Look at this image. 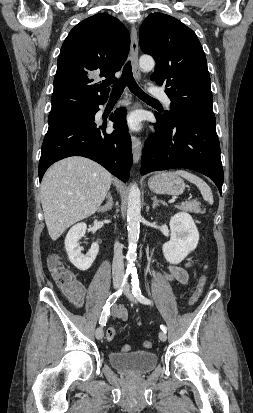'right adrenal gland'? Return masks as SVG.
<instances>
[{
    "instance_id": "right-adrenal-gland-1",
    "label": "right adrenal gland",
    "mask_w": 253,
    "mask_h": 413,
    "mask_svg": "<svg viewBox=\"0 0 253 413\" xmlns=\"http://www.w3.org/2000/svg\"><path fill=\"white\" fill-rule=\"evenodd\" d=\"M107 199H108L107 203H106L104 206L100 207V208L98 209V212L105 213V212H107V211H109V210L112 209L113 199H112V196H111L110 193H108Z\"/></svg>"
}]
</instances>
